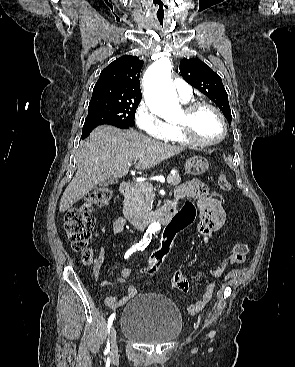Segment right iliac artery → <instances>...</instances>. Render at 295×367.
I'll list each match as a JSON object with an SVG mask.
<instances>
[{"mask_svg": "<svg viewBox=\"0 0 295 367\" xmlns=\"http://www.w3.org/2000/svg\"><path fill=\"white\" fill-rule=\"evenodd\" d=\"M141 247L139 245H134L132 246L126 253H125V256L124 258L127 259L129 258V256L134 253L135 251L137 250H140ZM115 319V313L111 314V316L109 317L108 319V324H107V327H108V333L110 332V328L112 326V323ZM110 352V342H109V339H108V342H107V346H106V350H105V353H109Z\"/></svg>", "mask_w": 295, "mask_h": 367, "instance_id": "obj_1", "label": "right iliac artery"}]
</instances>
